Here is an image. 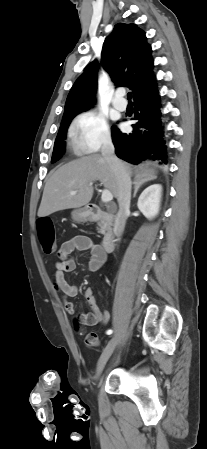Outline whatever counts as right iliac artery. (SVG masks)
Segmentation results:
<instances>
[{
    "mask_svg": "<svg viewBox=\"0 0 207 449\" xmlns=\"http://www.w3.org/2000/svg\"><path fill=\"white\" fill-rule=\"evenodd\" d=\"M112 332H113V331H112L111 329H109V330H107L106 333H107L108 335H110V334H112Z\"/></svg>",
    "mask_w": 207,
    "mask_h": 449,
    "instance_id": "82829eb1",
    "label": "right iliac artery"
}]
</instances>
